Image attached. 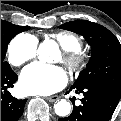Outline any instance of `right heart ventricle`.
<instances>
[{"instance_id": "1", "label": "right heart ventricle", "mask_w": 121, "mask_h": 121, "mask_svg": "<svg viewBox=\"0 0 121 121\" xmlns=\"http://www.w3.org/2000/svg\"><path fill=\"white\" fill-rule=\"evenodd\" d=\"M66 51L79 50L81 47L77 37L68 33H54L51 35Z\"/></svg>"}]
</instances>
